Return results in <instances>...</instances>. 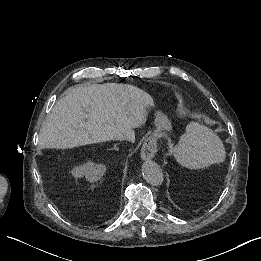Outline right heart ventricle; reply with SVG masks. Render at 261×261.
Instances as JSON below:
<instances>
[{"label":"right heart ventricle","instance_id":"e07e8e85","mask_svg":"<svg viewBox=\"0 0 261 261\" xmlns=\"http://www.w3.org/2000/svg\"><path fill=\"white\" fill-rule=\"evenodd\" d=\"M138 104L145 113L160 110L174 117H181L184 109L182 96L174 91H142L138 96Z\"/></svg>","mask_w":261,"mask_h":261}]
</instances>
